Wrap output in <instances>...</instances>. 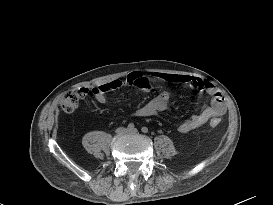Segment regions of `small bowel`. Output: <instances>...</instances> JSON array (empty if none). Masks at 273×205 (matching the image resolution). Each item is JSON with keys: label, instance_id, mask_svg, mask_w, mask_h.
Wrapping results in <instances>:
<instances>
[{"label": "small bowel", "instance_id": "obj_1", "mask_svg": "<svg viewBox=\"0 0 273 205\" xmlns=\"http://www.w3.org/2000/svg\"><path fill=\"white\" fill-rule=\"evenodd\" d=\"M171 83L186 84L196 91H206L210 96V103L202 110L189 117L179 125V131L187 133L203 126L210 118L220 117L226 112V102L220 91L210 82L189 75L159 72L144 76L139 71L128 74L123 79H114L92 88L94 98L101 104L106 102V94L125 86H134L141 91L149 89L153 84ZM170 93L161 92L135 111L137 116H151L164 111L168 107Z\"/></svg>", "mask_w": 273, "mask_h": 205}]
</instances>
